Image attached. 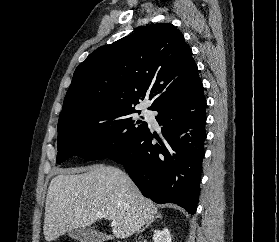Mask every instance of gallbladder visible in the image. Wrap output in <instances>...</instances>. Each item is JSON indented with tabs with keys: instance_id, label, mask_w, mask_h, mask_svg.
Returning <instances> with one entry per match:
<instances>
[{
	"instance_id": "obj_1",
	"label": "gallbladder",
	"mask_w": 279,
	"mask_h": 242,
	"mask_svg": "<svg viewBox=\"0 0 279 242\" xmlns=\"http://www.w3.org/2000/svg\"><path fill=\"white\" fill-rule=\"evenodd\" d=\"M68 236L79 242H104L109 238L108 235L91 228L73 229L68 232Z\"/></svg>"
}]
</instances>
